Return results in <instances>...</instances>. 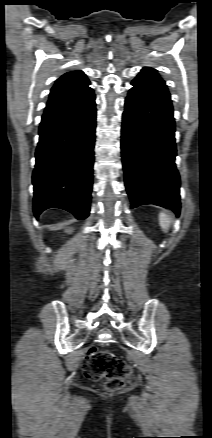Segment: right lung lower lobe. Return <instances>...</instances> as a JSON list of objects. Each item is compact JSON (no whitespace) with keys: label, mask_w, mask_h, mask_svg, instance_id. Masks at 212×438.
Segmentation results:
<instances>
[{"label":"right lung lower lobe","mask_w":212,"mask_h":438,"mask_svg":"<svg viewBox=\"0 0 212 438\" xmlns=\"http://www.w3.org/2000/svg\"><path fill=\"white\" fill-rule=\"evenodd\" d=\"M95 128L94 93L45 108L32 177L36 218L49 208L64 209L79 220L89 215Z\"/></svg>","instance_id":"obj_1"}]
</instances>
